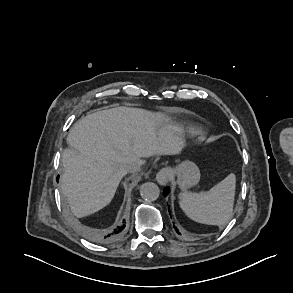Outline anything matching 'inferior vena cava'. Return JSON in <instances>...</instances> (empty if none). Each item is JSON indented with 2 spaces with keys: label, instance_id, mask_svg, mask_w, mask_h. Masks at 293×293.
<instances>
[{
  "label": "inferior vena cava",
  "instance_id": "1",
  "mask_svg": "<svg viewBox=\"0 0 293 293\" xmlns=\"http://www.w3.org/2000/svg\"><path fill=\"white\" fill-rule=\"evenodd\" d=\"M142 164L143 162L141 160H137L128 166V170L130 172H135L141 167Z\"/></svg>",
  "mask_w": 293,
  "mask_h": 293
}]
</instances>
